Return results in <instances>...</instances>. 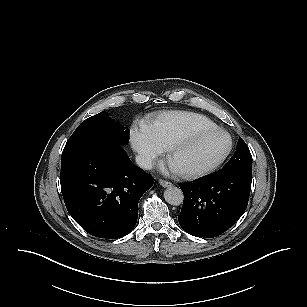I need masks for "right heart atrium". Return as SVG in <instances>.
Wrapping results in <instances>:
<instances>
[{
  "instance_id": "1",
  "label": "right heart atrium",
  "mask_w": 307,
  "mask_h": 307,
  "mask_svg": "<svg viewBox=\"0 0 307 307\" xmlns=\"http://www.w3.org/2000/svg\"><path fill=\"white\" fill-rule=\"evenodd\" d=\"M130 142L139 164L147 169L155 164L164 151V148L150 135L144 125L133 127L130 130Z\"/></svg>"
}]
</instances>
